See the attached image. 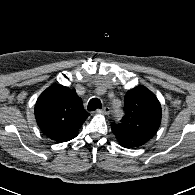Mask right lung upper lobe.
<instances>
[{
    "label": "right lung upper lobe",
    "mask_w": 195,
    "mask_h": 195,
    "mask_svg": "<svg viewBox=\"0 0 195 195\" xmlns=\"http://www.w3.org/2000/svg\"><path fill=\"white\" fill-rule=\"evenodd\" d=\"M35 115L42 132L57 142L73 139L89 116L75 90L62 85L51 86L40 95Z\"/></svg>",
    "instance_id": "obj_1"
}]
</instances>
